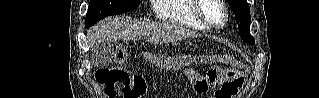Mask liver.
<instances>
[{"mask_svg": "<svg viewBox=\"0 0 319 98\" xmlns=\"http://www.w3.org/2000/svg\"><path fill=\"white\" fill-rule=\"evenodd\" d=\"M88 35L92 48L99 44H110L117 40L135 41L139 40L141 36L148 37L151 44L170 43L200 36L182 26L119 19L98 23L89 30Z\"/></svg>", "mask_w": 319, "mask_h": 98, "instance_id": "obj_1", "label": "liver"}]
</instances>
